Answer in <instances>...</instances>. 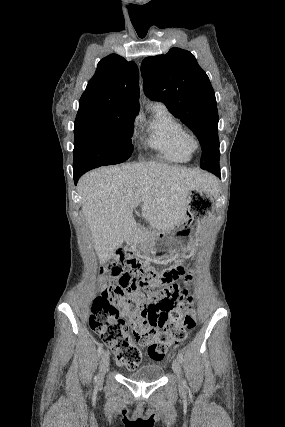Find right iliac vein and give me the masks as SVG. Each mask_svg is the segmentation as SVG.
<instances>
[{
  "label": "right iliac vein",
  "mask_w": 285,
  "mask_h": 427,
  "mask_svg": "<svg viewBox=\"0 0 285 427\" xmlns=\"http://www.w3.org/2000/svg\"><path fill=\"white\" fill-rule=\"evenodd\" d=\"M108 367H109V353L104 352L101 357L100 374L96 382L97 384H99L102 381L103 375L107 371Z\"/></svg>",
  "instance_id": "right-iliac-vein-1"
}]
</instances>
